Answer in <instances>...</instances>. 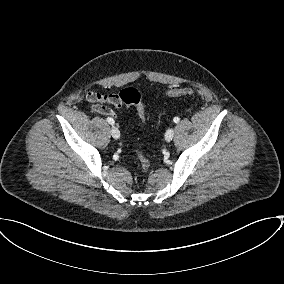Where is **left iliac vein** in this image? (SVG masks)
I'll return each instance as SVG.
<instances>
[{"mask_svg": "<svg viewBox=\"0 0 284 284\" xmlns=\"http://www.w3.org/2000/svg\"><path fill=\"white\" fill-rule=\"evenodd\" d=\"M174 137V130L172 128L168 129L165 133V140L170 142Z\"/></svg>", "mask_w": 284, "mask_h": 284, "instance_id": "1", "label": "left iliac vein"}]
</instances>
